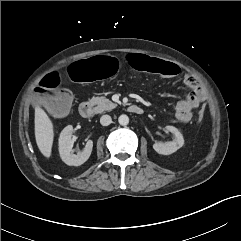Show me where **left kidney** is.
I'll list each match as a JSON object with an SVG mask.
<instances>
[{
	"label": "left kidney",
	"instance_id": "5707ae66",
	"mask_svg": "<svg viewBox=\"0 0 241 241\" xmlns=\"http://www.w3.org/2000/svg\"><path fill=\"white\" fill-rule=\"evenodd\" d=\"M167 131L174 135L173 141L169 142H155L153 149L162 155H170L176 152L179 148L184 145V138L180 131L174 126H166Z\"/></svg>",
	"mask_w": 241,
	"mask_h": 241
}]
</instances>
